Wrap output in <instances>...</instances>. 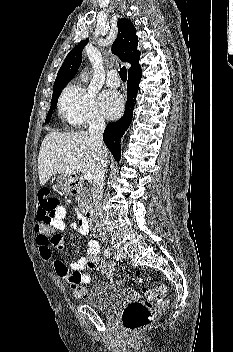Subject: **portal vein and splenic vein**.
I'll return each mask as SVG.
<instances>
[{
  "mask_svg": "<svg viewBox=\"0 0 233 352\" xmlns=\"http://www.w3.org/2000/svg\"><path fill=\"white\" fill-rule=\"evenodd\" d=\"M92 177H93V175L90 173V172H86L85 174H84V179L85 180H91L92 179Z\"/></svg>",
  "mask_w": 233,
  "mask_h": 352,
  "instance_id": "1",
  "label": "portal vein and splenic vein"
}]
</instances>
